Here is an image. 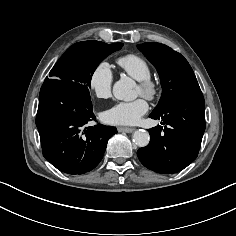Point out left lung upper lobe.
I'll return each instance as SVG.
<instances>
[{
    "mask_svg": "<svg viewBox=\"0 0 236 236\" xmlns=\"http://www.w3.org/2000/svg\"><path fill=\"white\" fill-rule=\"evenodd\" d=\"M138 49L156 67L163 88L162 96L152 113H160L177 96L200 90L194 72L178 52L161 43H143Z\"/></svg>",
    "mask_w": 236,
    "mask_h": 236,
    "instance_id": "5c2ea615",
    "label": "left lung upper lobe"
}]
</instances>
